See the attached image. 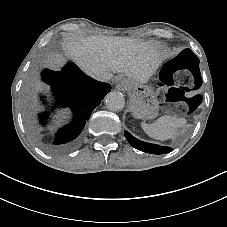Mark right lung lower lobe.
<instances>
[{"instance_id": "obj_1", "label": "right lung lower lobe", "mask_w": 227, "mask_h": 227, "mask_svg": "<svg viewBox=\"0 0 227 227\" xmlns=\"http://www.w3.org/2000/svg\"><path fill=\"white\" fill-rule=\"evenodd\" d=\"M42 79L51 85L57 104L60 107H70L74 113L73 120L58 131L53 143L46 145L50 152H66L77 145L76 138L111 87L88 77L71 62L62 71L43 70ZM48 117L49 113L39 114L40 123L45 125Z\"/></svg>"}]
</instances>
